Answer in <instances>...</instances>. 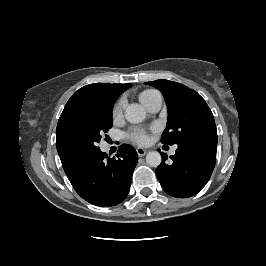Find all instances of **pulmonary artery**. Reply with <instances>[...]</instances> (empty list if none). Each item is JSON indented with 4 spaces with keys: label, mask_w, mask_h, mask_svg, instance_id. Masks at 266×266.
I'll return each mask as SVG.
<instances>
[{
    "label": "pulmonary artery",
    "mask_w": 266,
    "mask_h": 266,
    "mask_svg": "<svg viewBox=\"0 0 266 266\" xmlns=\"http://www.w3.org/2000/svg\"><path fill=\"white\" fill-rule=\"evenodd\" d=\"M162 106V96L159 94L157 96H155L150 102L149 104L147 105V109L150 111V112H158L160 110ZM176 151V146H174L172 149H171V154H174Z\"/></svg>",
    "instance_id": "1"
}]
</instances>
